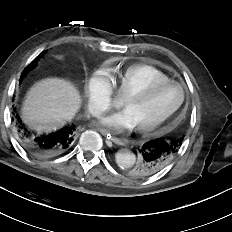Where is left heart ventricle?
<instances>
[{
    "label": "left heart ventricle",
    "mask_w": 232,
    "mask_h": 232,
    "mask_svg": "<svg viewBox=\"0 0 232 232\" xmlns=\"http://www.w3.org/2000/svg\"><path fill=\"white\" fill-rule=\"evenodd\" d=\"M181 98L177 86H165L144 100H123L122 107L128 111L136 127L154 123L173 109Z\"/></svg>",
    "instance_id": "1"
}]
</instances>
